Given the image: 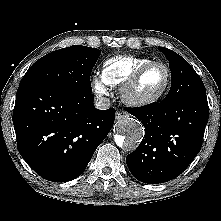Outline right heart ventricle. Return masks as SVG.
<instances>
[{"label": "right heart ventricle", "mask_w": 221, "mask_h": 221, "mask_svg": "<svg viewBox=\"0 0 221 221\" xmlns=\"http://www.w3.org/2000/svg\"><path fill=\"white\" fill-rule=\"evenodd\" d=\"M151 61L147 57H112L103 64L102 79L110 87L122 86L141 66Z\"/></svg>", "instance_id": "right-heart-ventricle-1"}]
</instances>
